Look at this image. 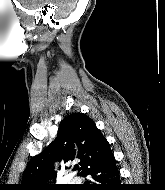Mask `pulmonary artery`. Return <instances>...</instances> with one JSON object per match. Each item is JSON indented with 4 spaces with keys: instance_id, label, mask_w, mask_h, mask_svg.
Returning a JSON list of instances; mask_svg holds the SVG:
<instances>
[{
    "instance_id": "pulmonary-artery-1",
    "label": "pulmonary artery",
    "mask_w": 165,
    "mask_h": 190,
    "mask_svg": "<svg viewBox=\"0 0 165 190\" xmlns=\"http://www.w3.org/2000/svg\"><path fill=\"white\" fill-rule=\"evenodd\" d=\"M71 182H72V183H76V182H77V179H76V178H73V179L71 180Z\"/></svg>"
}]
</instances>
